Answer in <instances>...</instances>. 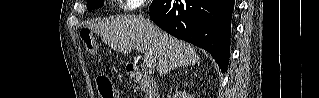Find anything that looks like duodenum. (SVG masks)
<instances>
[{
    "label": "duodenum",
    "instance_id": "410a0bca",
    "mask_svg": "<svg viewBox=\"0 0 319 98\" xmlns=\"http://www.w3.org/2000/svg\"><path fill=\"white\" fill-rule=\"evenodd\" d=\"M126 72L129 76L140 80L147 92V98H159L156 82L144 75L138 66L133 63L126 64Z\"/></svg>",
    "mask_w": 319,
    "mask_h": 98
}]
</instances>
